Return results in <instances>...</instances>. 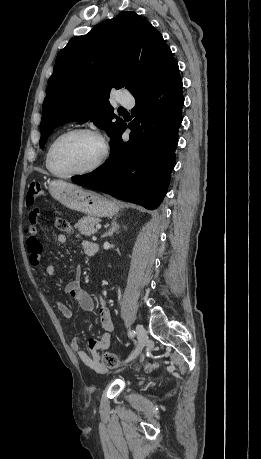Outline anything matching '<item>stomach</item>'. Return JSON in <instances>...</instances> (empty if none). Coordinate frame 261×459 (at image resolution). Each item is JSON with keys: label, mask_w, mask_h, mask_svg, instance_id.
Wrapping results in <instances>:
<instances>
[{"label": "stomach", "mask_w": 261, "mask_h": 459, "mask_svg": "<svg viewBox=\"0 0 261 459\" xmlns=\"http://www.w3.org/2000/svg\"><path fill=\"white\" fill-rule=\"evenodd\" d=\"M49 192L63 206L88 216L110 217L119 210L113 200L62 180L51 181Z\"/></svg>", "instance_id": "stomach-1"}]
</instances>
